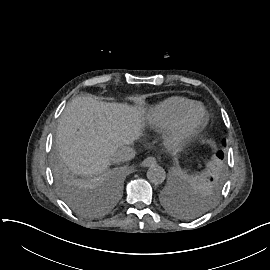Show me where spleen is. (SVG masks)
Wrapping results in <instances>:
<instances>
[{
    "mask_svg": "<svg viewBox=\"0 0 270 270\" xmlns=\"http://www.w3.org/2000/svg\"><path fill=\"white\" fill-rule=\"evenodd\" d=\"M215 182L218 181V174L216 173L215 174V179H214ZM188 182L191 184V185H196L197 183L194 181V180H189L188 179Z\"/></svg>",
    "mask_w": 270,
    "mask_h": 270,
    "instance_id": "spleen-1",
    "label": "spleen"
}]
</instances>
